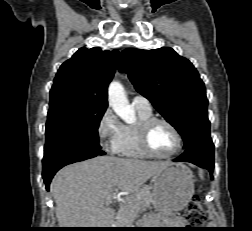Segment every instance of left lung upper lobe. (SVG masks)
I'll return each instance as SVG.
<instances>
[{
	"label": "left lung upper lobe",
	"mask_w": 252,
	"mask_h": 231,
	"mask_svg": "<svg viewBox=\"0 0 252 231\" xmlns=\"http://www.w3.org/2000/svg\"><path fill=\"white\" fill-rule=\"evenodd\" d=\"M119 70L180 133L184 149L211 142L205 86L193 64L172 48L125 49Z\"/></svg>",
	"instance_id": "5c2ea615"
}]
</instances>
